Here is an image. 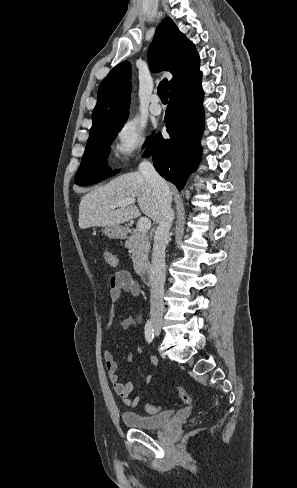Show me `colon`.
<instances>
[{
	"mask_svg": "<svg viewBox=\"0 0 297 488\" xmlns=\"http://www.w3.org/2000/svg\"><path fill=\"white\" fill-rule=\"evenodd\" d=\"M112 261V260H111ZM105 279L107 281V284L109 286V289L113 288V285H114V278L112 275L110 274H106L105 276ZM176 390L179 394V397L181 398L182 402L184 404H190L191 401H192V397L190 395V393L184 389L183 387L181 386H176ZM145 410L150 413V414H155L159 411V408L152 405V404H146L145 405Z\"/></svg>",
	"mask_w": 297,
	"mask_h": 488,
	"instance_id": "5ec220e1",
	"label": "colon"
}]
</instances>
